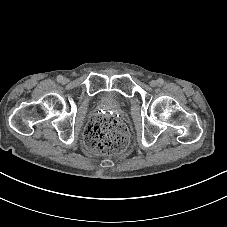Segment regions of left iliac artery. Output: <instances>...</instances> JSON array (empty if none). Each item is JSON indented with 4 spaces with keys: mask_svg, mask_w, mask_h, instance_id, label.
<instances>
[{
    "mask_svg": "<svg viewBox=\"0 0 227 227\" xmlns=\"http://www.w3.org/2000/svg\"><path fill=\"white\" fill-rule=\"evenodd\" d=\"M157 84H158L159 86H162V85L164 84V80H163L162 78H159V79L157 80Z\"/></svg>",
    "mask_w": 227,
    "mask_h": 227,
    "instance_id": "obj_1",
    "label": "left iliac artery"
}]
</instances>
